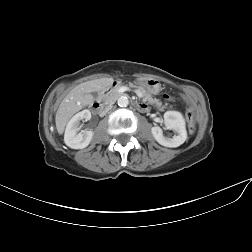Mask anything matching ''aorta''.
Listing matches in <instances>:
<instances>
[{
  "mask_svg": "<svg viewBox=\"0 0 252 252\" xmlns=\"http://www.w3.org/2000/svg\"><path fill=\"white\" fill-rule=\"evenodd\" d=\"M117 102L120 107H126L129 104V100L126 96H121Z\"/></svg>",
  "mask_w": 252,
  "mask_h": 252,
  "instance_id": "762f6f07",
  "label": "aorta"
}]
</instances>
